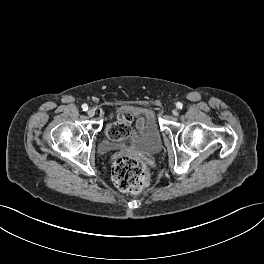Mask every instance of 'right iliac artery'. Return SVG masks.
Masks as SVG:
<instances>
[{"label":"right iliac artery","mask_w":264,"mask_h":264,"mask_svg":"<svg viewBox=\"0 0 264 264\" xmlns=\"http://www.w3.org/2000/svg\"><path fill=\"white\" fill-rule=\"evenodd\" d=\"M82 109H83L84 111H87V110H88V105H87V104H83V105H82Z\"/></svg>","instance_id":"1"}]
</instances>
